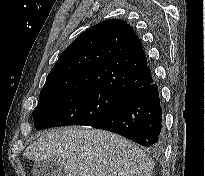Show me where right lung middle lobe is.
Returning <instances> with one entry per match:
<instances>
[{
    "instance_id": "dd1d6c3e",
    "label": "right lung middle lobe",
    "mask_w": 205,
    "mask_h": 176,
    "mask_svg": "<svg viewBox=\"0 0 205 176\" xmlns=\"http://www.w3.org/2000/svg\"><path fill=\"white\" fill-rule=\"evenodd\" d=\"M125 96L104 89H87L39 97L33 111L37 130L69 125L92 126L104 119Z\"/></svg>"
}]
</instances>
